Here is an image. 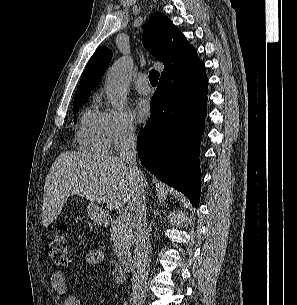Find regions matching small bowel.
Returning <instances> with one entry per match:
<instances>
[{"mask_svg": "<svg viewBox=\"0 0 297 305\" xmlns=\"http://www.w3.org/2000/svg\"><path fill=\"white\" fill-rule=\"evenodd\" d=\"M105 254L100 249H92L86 255V262L90 266H96L103 263ZM109 269L115 283L121 284L124 280V272L119 265L113 261H109ZM51 287L57 293L66 294L64 305H81L80 299L73 294H67L69 283L67 276L63 272H55L51 277ZM115 301L119 302V296H114Z\"/></svg>", "mask_w": 297, "mask_h": 305, "instance_id": "1", "label": "small bowel"}]
</instances>
